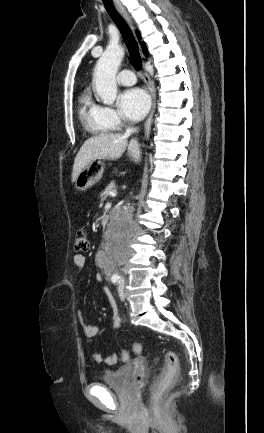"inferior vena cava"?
<instances>
[{"instance_id": "obj_1", "label": "inferior vena cava", "mask_w": 264, "mask_h": 433, "mask_svg": "<svg viewBox=\"0 0 264 433\" xmlns=\"http://www.w3.org/2000/svg\"><path fill=\"white\" fill-rule=\"evenodd\" d=\"M137 128H127L126 135H130L131 133L137 132ZM115 252H126V251H115Z\"/></svg>"}]
</instances>
